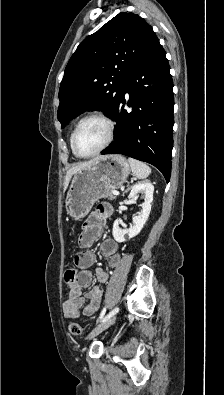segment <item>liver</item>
<instances>
[{"label":"liver","mask_w":224,"mask_h":395,"mask_svg":"<svg viewBox=\"0 0 224 395\" xmlns=\"http://www.w3.org/2000/svg\"><path fill=\"white\" fill-rule=\"evenodd\" d=\"M98 158H99V157L93 158V159H91V160H89V161L79 163L78 165H76V166L70 168V169L67 171L66 176H65L64 190L67 189V187H68V185H69V182H70L72 176H73L76 172H78V171H80V170H82V169H84V168L90 166V165L93 164Z\"/></svg>","instance_id":"obj_1"}]
</instances>
